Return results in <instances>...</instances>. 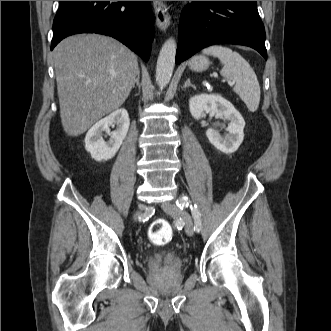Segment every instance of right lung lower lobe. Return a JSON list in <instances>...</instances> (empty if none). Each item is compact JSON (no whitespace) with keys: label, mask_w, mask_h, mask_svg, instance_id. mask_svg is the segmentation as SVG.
Returning <instances> with one entry per match:
<instances>
[{"label":"right lung lower lobe","mask_w":331,"mask_h":331,"mask_svg":"<svg viewBox=\"0 0 331 331\" xmlns=\"http://www.w3.org/2000/svg\"><path fill=\"white\" fill-rule=\"evenodd\" d=\"M77 33L114 37L147 61L153 39L150 1H60L51 50Z\"/></svg>","instance_id":"98d812e1"}]
</instances>
